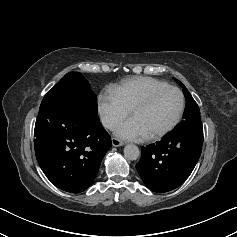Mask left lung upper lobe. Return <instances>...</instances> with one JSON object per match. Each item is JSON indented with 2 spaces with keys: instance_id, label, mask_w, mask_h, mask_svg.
Instances as JSON below:
<instances>
[{
  "instance_id": "left-lung-upper-lobe-1",
  "label": "left lung upper lobe",
  "mask_w": 237,
  "mask_h": 237,
  "mask_svg": "<svg viewBox=\"0 0 237 237\" xmlns=\"http://www.w3.org/2000/svg\"><path fill=\"white\" fill-rule=\"evenodd\" d=\"M176 82L183 88L186 98V107L183 115V121L179 123L169 135H178L186 132H203L200 119L199 107L186 87L177 79Z\"/></svg>"
}]
</instances>
